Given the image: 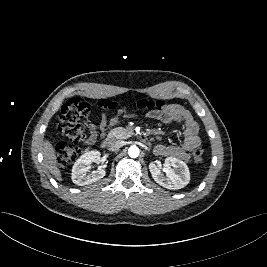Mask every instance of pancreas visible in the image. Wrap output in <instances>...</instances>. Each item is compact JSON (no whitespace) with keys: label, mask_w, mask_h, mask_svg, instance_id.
<instances>
[{"label":"pancreas","mask_w":267,"mask_h":267,"mask_svg":"<svg viewBox=\"0 0 267 267\" xmlns=\"http://www.w3.org/2000/svg\"><path fill=\"white\" fill-rule=\"evenodd\" d=\"M131 131V129L125 128H114L108 133V139L119 138L123 139L126 138V135Z\"/></svg>","instance_id":"cf45deb5"}]
</instances>
